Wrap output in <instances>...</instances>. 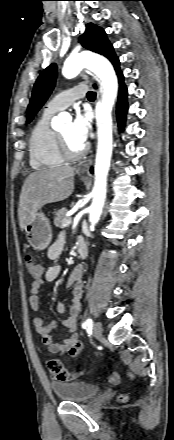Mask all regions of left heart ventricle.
Here are the masks:
<instances>
[{
    "instance_id": "1",
    "label": "left heart ventricle",
    "mask_w": 174,
    "mask_h": 440,
    "mask_svg": "<svg viewBox=\"0 0 174 440\" xmlns=\"http://www.w3.org/2000/svg\"><path fill=\"white\" fill-rule=\"evenodd\" d=\"M60 133L64 136V138L66 139L69 147L73 151H79L82 148V145H79L76 142H74V140L71 137V124L70 123L65 124L62 127V129L60 130Z\"/></svg>"
}]
</instances>
